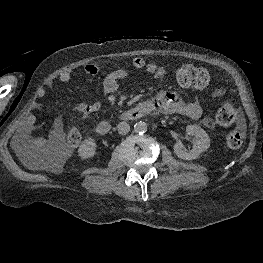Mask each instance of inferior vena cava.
I'll use <instances>...</instances> for the list:
<instances>
[{"instance_id":"obj_1","label":"inferior vena cava","mask_w":263,"mask_h":263,"mask_svg":"<svg viewBox=\"0 0 263 263\" xmlns=\"http://www.w3.org/2000/svg\"><path fill=\"white\" fill-rule=\"evenodd\" d=\"M118 133L125 135L130 131V125L127 122H121L117 126Z\"/></svg>"}]
</instances>
